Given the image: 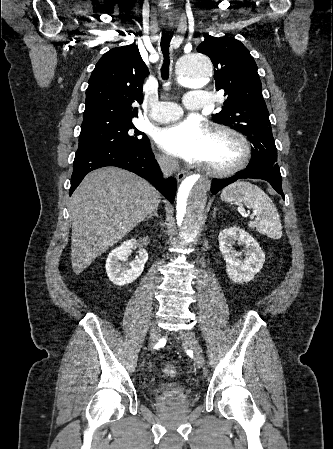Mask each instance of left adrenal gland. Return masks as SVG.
<instances>
[{"instance_id": "left-adrenal-gland-1", "label": "left adrenal gland", "mask_w": 333, "mask_h": 449, "mask_svg": "<svg viewBox=\"0 0 333 449\" xmlns=\"http://www.w3.org/2000/svg\"><path fill=\"white\" fill-rule=\"evenodd\" d=\"M217 211H218V209H217V208H214V211H213V217H215Z\"/></svg>"}]
</instances>
